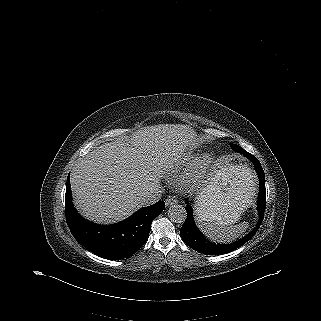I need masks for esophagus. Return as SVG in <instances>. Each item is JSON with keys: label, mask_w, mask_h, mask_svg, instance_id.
<instances>
[{"label": "esophagus", "mask_w": 321, "mask_h": 321, "mask_svg": "<svg viewBox=\"0 0 321 321\" xmlns=\"http://www.w3.org/2000/svg\"><path fill=\"white\" fill-rule=\"evenodd\" d=\"M177 203H178V199L175 196H169L165 200L166 206H171V205L177 204Z\"/></svg>", "instance_id": "34e87169"}]
</instances>
